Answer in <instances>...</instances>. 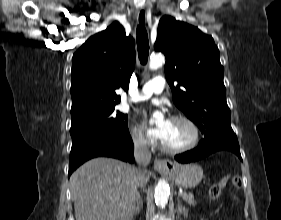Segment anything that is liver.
I'll list each match as a JSON object with an SVG mask.
<instances>
[{"mask_svg": "<svg viewBox=\"0 0 281 220\" xmlns=\"http://www.w3.org/2000/svg\"><path fill=\"white\" fill-rule=\"evenodd\" d=\"M137 189L132 165L104 157L87 161L70 177L76 220H132Z\"/></svg>", "mask_w": 281, "mask_h": 220, "instance_id": "6515ba94", "label": "liver"}]
</instances>
